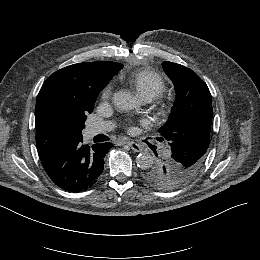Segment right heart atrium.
I'll return each mask as SVG.
<instances>
[{
	"label": "right heart atrium",
	"mask_w": 260,
	"mask_h": 260,
	"mask_svg": "<svg viewBox=\"0 0 260 260\" xmlns=\"http://www.w3.org/2000/svg\"><path fill=\"white\" fill-rule=\"evenodd\" d=\"M113 94V87L111 85L105 86L101 91V99L108 100Z\"/></svg>",
	"instance_id": "obj_1"
}]
</instances>
